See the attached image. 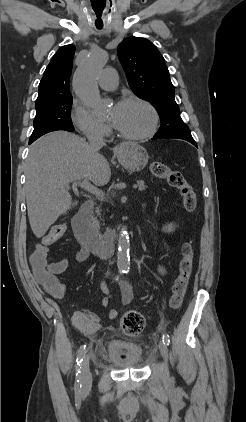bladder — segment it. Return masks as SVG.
Segmentation results:
<instances>
[{
  "instance_id": "bladder-1",
  "label": "bladder",
  "mask_w": 246,
  "mask_h": 422,
  "mask_svg": "<svg viewBox=\"0 0 246 422\" xmlns=\"http://www.w3.org/2000/svg\"><path fill=\"white\" fill-rule=\"evenodd\" d=\"M106 357L121 368H138L144 363L143 347L133 341L111 338L106 345Z\"/></svg>"
}]
</instances>
